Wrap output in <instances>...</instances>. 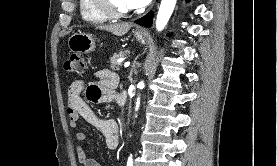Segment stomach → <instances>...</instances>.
<instances>
[{"label": "stomach", "mask_w": 277, "mask_h": 166, "mask_svg": "<svg viewBox=\"0 0 277 166\" xmlns=\"http://www.w3.org/2000/svg\"><path fill=\"white\" fill-rule=\"evenodd\" d=\"M134 36L137 41L144 44L146 42V36L139 32L135 31ZM68 46L71 52L77 54H87L92 52L95 49V39L92 34L76 32L68 40Z\"/></svg>", "instance_id": "1"}]
</instances>
